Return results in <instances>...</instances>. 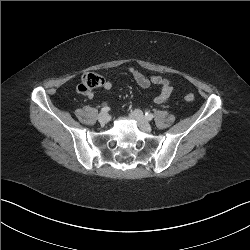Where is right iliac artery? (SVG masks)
<instances>
[{
	"label": "right iliac artery",
	"mask_w": 250,
	"mask_h": 250,
	"mask_svg": "<svg viewBox=\"0 0 250 250\" xmlns=\"http://www.w3.org/2000/svg\"><path fill=\"white\" fill-rule=\"evenodd\" d=\"M109 110H110V108H109L108 106H104V107L101 109L102 112H107V111H109Z\"/></svg>",
	"instance_id": "1"
}]
</instances>
